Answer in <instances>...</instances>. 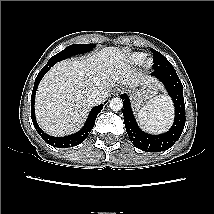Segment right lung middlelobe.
<instances>
[{
	"label": "right lung middle lobe",
	"mask_w": 214,
	"mask_h": 214,
	"mask_svg": "<svg viewBox=\"0 0 214 214\" xmlns=\"http://www.w3.org/2000/svg\"><path fill=\"white\" fill-rule=\"evenodd\" d=\"M94 47L95 44H73L51 57L48 62L56 63L63 59H67L70 56L89 52L93 50Z\"/></svg>",
	"instance_id": "obj_1"
}]
</instances>
